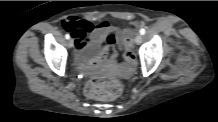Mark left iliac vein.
Listing matches in <instances>:
<instances>
[{
  "label": "left iliac vein",
  "instance_id": "left-iliac-vein-1",
  "mask_svg": "<svg viewBox=\"0 0 218 122\" xmlns=\"http://www.w3.org/2000/svg\"><path fill=\"white\" fill-rule=\"evenodd\" d=\"M135 42L136 44H141L142 42V35L141 34H137L136 37H135Z\"/></svg>",
  "mask_w": 218,
  "mask_h": 122
}]
</instances>
